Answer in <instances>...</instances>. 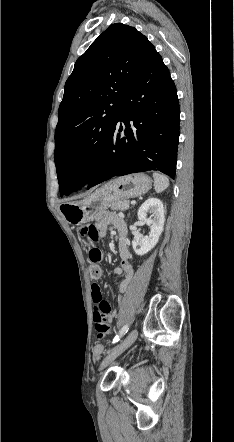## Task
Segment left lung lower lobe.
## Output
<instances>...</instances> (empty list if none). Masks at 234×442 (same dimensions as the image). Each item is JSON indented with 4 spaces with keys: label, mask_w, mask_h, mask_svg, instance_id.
Segmentation results:
<instances>
[{
    "label": "left lung lower lobe",
    "mask_w": 234,
    "mask_h": 442,
    "mask_svg": "<svg viewBox=\"0 0 234 442\" xmlns=\"http://www.w3.org/2000/svg\"><path fill=\"white\" fill-rule=\"evenodd\" d=\"M120 121L125 126L124 137ZM179 123L175 84L155 51L123 97L107 149L88 180L87 189L115 176L147 170H157L174 178Z\"/></svg>",
    "instance_id": "0a47b994"
}]
</instances>
